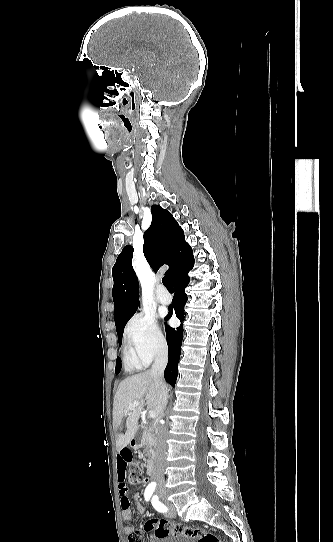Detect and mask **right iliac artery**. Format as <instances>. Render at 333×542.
Returning <instances> with one entry per match:
<instances>
[{"instance_id":"1","label":"right iliac artery","mask_w":333,"mask_h":542,"mask_svg":"<svg viewBox=\"0 0 333 542\" xmlns=\"http://www.w3.org/2000/svg\"><path fill=\"white\" fill-rule=\"evenodd\" d=\"M156 484H149L145 490L144 497L145 500L148 501L150 497L152 496L154 490H155ZM156 497V496H154Z\"/></svg>"}]
</instances>
